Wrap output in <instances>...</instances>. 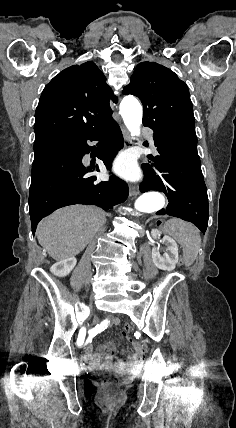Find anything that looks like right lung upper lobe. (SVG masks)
<instances>
[{
	"instance_id": "obj_1",
	"label": "right lung upper lobe",
	"mask_w": 236,
	"mask_h": 428,
	"mask_svg": "<svg viewBox=\"0 0 236 428\" xmlns=\"http://www.w3.org/2000/svg\"><path fill=\"white\" fill-rule=\"evenodd\" d=\"M117 102L104 74L92 61L60 72L44 88L35 113V142L73 135L107 122Z\"/></svg>"
}]
</instances>
